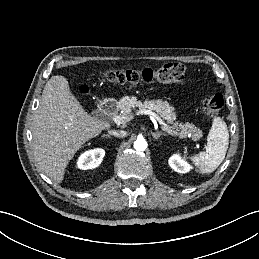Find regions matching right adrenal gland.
Masks as SVG:
<instances>
[{
    "instance_id": "obj_1",
    "label": "right adrenal gland",
    "mask_w": 259,
    "mask_h": 259,
    "mask_svg": "<svg viewBox=\"0 0 259 259\" xmlns=\"http://www.w3.org/2000/svg\"><path fill=\"white\" fill-rule=\"evenodd\" d=\"M102 137H104V138H111V136L109 134H103Z\"/></svg>"
}]
</instances>
